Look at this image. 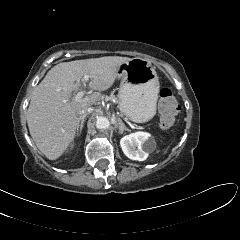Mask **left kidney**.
Returning a JSON list of instances; mask_svg holds the SVG:
<instances>
[{
  "mask_svg": "<svg viewBox=\"0 0 240 240\" xmlns=\"http://www.w3.org/2000/svg\"><path fill=\"white\" fill-rule=\"evenodd\" d=\"M123 153L132 160L144 161L155 148V142L146 132H135L120 140Z\"/></svg>",
  "mask_w": 240,
  "mask_h": 240,
  "instance_id": "1",
  "label": "left kidney"
}]
</instances>
